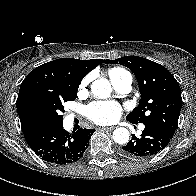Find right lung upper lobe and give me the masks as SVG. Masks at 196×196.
Listing matches in <instances>:
<instances>
[{
	"instance_id": "1",
	"label": "right lung upper lobe",
	"mask_w": 196,
	"mask_h": 196,
	"mask_svg": "<svg viewBox=\"0 0 196 196\" xmlns=\"http://www.w3.org/2000/svg\"><path fill=\"white\" fill-rule=\"evenodd\" d=\"M102 61V59L61 58L42 64L28 74L21 83L16 101L22 132L26 140L44 129L28 110L30 96L38 90L78 87L84 76Z\"/></svg>"
}]
</instances>
